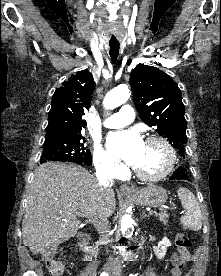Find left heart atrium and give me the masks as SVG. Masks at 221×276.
<instances>
[{
	"instance_id": "left-heart-atrium-1",
	"label": "left heart atrium",
	"mask_w": 221,
	"mask_h": 276,
	"mask_svg": "<svg viewBox=\"0 0 221 276\" xmlns=\"http://www.w3.org/2000/svg\"><path fill=\"white\" fill-rule=\"evenodd\" d=\"M107 143L114 156L132 166L137 165L144 149V142L136 131L114 133Z\"/></svg>"
}]
</instances>
